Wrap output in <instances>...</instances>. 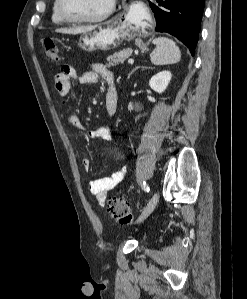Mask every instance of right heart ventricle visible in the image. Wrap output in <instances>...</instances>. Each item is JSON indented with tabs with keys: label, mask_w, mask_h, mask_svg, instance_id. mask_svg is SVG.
<instances>
[{
	"label": "right heart ventricle",
	"mask_w": 247,
	"mask_h": 299,
	"mask_svg": "<svg viewBox=\"0 0 247 299\" xmlns=\"http://www.w3.org/2000/svg\"><path fill=\"white\" fill-rule=\"evenodd\" d=\"M51 20L56 25H63L66 21L60 16L58 9H57V0L53 1L52 5V13H51Z\"/></svg>",
	"instance_id": "1"
}]
</instances>
